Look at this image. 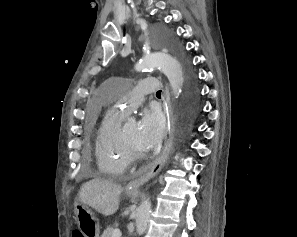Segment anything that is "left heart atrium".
<instances>
[{
	"label": "left heart atrium",
	"mask_w": 297,
	"mask_h": 237,
	"mask_svg": "<svg viewBox=\"0 0 297 237\" xmlns=\"http://www.w3.org/2000/svg\"><path fill=\"white\" fill-rule=\"evenodd\" d=\"M164 120L156 109L142 112L137 124L138 140L145 151L158 147L164 135Z\"/></svg>",
	"instance_id": "1"
}]
</instances>
